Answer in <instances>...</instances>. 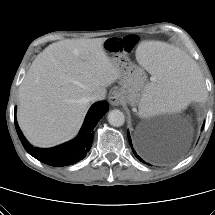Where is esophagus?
Wrapping results in <instances>:
<instances>
[{"mask_svg":"<svg viewBox=\"0 0 215 215\" xmlns=\"http://www.w3.org/2000/svg\"><path fill=\"white\" fill-rule=\"evenodd\" d=\"M122 94L119 90H114L109 96V102L113 106H118L122 102Z\"/></svg>","mask_w":215,"mask_h":215,"instance_id":"34e87169","label":"esophagus"}]
</instances>
